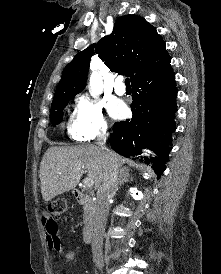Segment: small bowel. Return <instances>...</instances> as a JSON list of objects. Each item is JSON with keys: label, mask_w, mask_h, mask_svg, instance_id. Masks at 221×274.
I'll return each mask as SVG.
<instances>
[{"label": "small bowel", "mask_w": 221, "mask_h": 274, "mask_svg": "<svg viewBox=\"0 0 221 274\" xmlns=\"http://www.w3.org/2000/svg\"><path fill=\"white\" fill-rule=\"evenodd\" d=\"M41 222L48 248L58 253L62 252V245L58 237V225L54 217L44 212L41 216Z\"/></svg>", "instance_id": "obj_1"}]
</instances>
